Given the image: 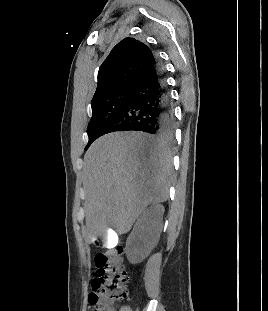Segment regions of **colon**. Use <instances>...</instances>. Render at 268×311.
Returning a JSON list of instances; mask_svg holds the SVG:
<instances>
[{
    "label": "colon",
    "instance_id": "5ec220e1",
    "mask_svg": "<svg viewBox=\"0 0 268 311\" xmlns=\"http://www.w3.org/2000/svg\"><path fill=\"white\" fill-rule=\"evenodd\" d=\"M98 245L100 250L94 258L97 277L92 282L89 302L92 311H113V304L127 295L128 275L123 264V250L121 247L106 249L103 244Z\"/></svg>",
    "mask_w": 268,
    "mask_h": 311
}]
</instances>
